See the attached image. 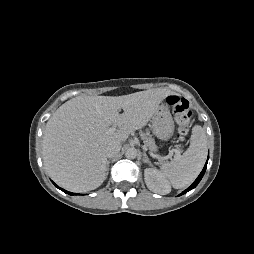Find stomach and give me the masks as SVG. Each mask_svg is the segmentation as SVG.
<instances>
[{"mask_svg":"<svg viewBox=\"0 0 254 254\" xmlns=\"http://www.w3.org/2000/svg\"><path fill=\"white\" fill-rule=\"evenodd\" d=\"M152 130L160 140H168L174 133V121L167 106H160L152 117Z\"/></svg>","mask_w":254,"mask_h":254,"instance_id":"stomach-1","label":"stomach"}]
</instances>
